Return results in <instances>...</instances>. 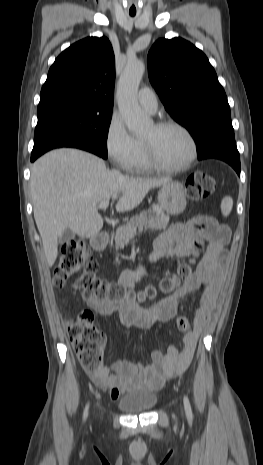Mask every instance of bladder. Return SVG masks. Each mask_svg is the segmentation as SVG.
<instances>
[{
  "instance_id": "1",
  "label": "bladder",
  "mask_w": 263,
  "mask_h": 465,
  "mask_svg": "<svg viewBox=\"0 0 263 465\" xmlns=\"http://www.w3.org/2000/svg\"><path fill=\"white\" fill-rule=\"evenodd\" d=\"M157 396L147 390H137L123 396L117 406L126 414H141L151 411L157 404Z\"/></svg>"
}]
</instances>
